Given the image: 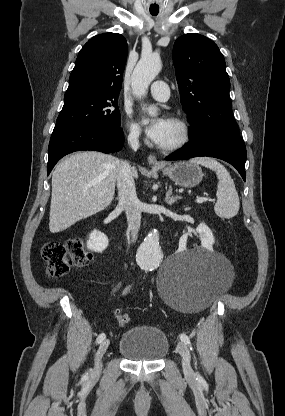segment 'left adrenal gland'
Returning <instances> with one entry per match:
<instances>
[{"label": "left adrenal gland", "instance_id": "1", "mask_svg": "<svg viewBox=\"0 0 285 416\" xmlns=\"http://www.w3.org/2000/svg\"><path fill=\"white\" fill-rule=\"evenodd\" d=\"M177 200H182L181 196H172V186H169L168 192H166V198L165 202L166 204H169V206H172L174 202H177Z\"/></svg>", "mask_w": 285, "mask_h": 416}]
</instances>
